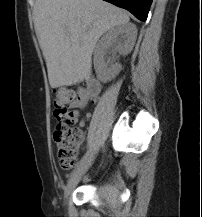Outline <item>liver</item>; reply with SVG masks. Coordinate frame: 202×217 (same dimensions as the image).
Here are the masks:
<instances>
[{"label":"liver","instance_id":"obj_1","mask_svg":"<svg viewBox=\"0 0 202 217\" xmlns=\"http://www.w3.org/2000/svg\"><path fill=\"white\" fill-rule=\"evenodd\" d=\"M33 15L52 88L88 79L98 39L129 22L125 11L103 0H36Z\"/></svg>","mask_w":202,"mask_h":217}]
</instances>
